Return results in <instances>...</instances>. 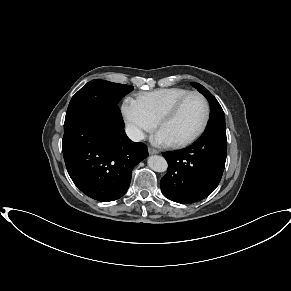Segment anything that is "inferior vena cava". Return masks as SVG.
<instances>
[{"mask_svg":"<svg viewBox=\"0 0 291 291\" xmlns=\"http://www.w3.org/2000/svg\"><path fill=\"white\" fill-rule=\"evenodd\" d=\"M127 136L134 142H139L144 139V133L135 126H127L125 128Z\"/></svg>","mask_w":291,"mask_h":291,"instance_id":"obj_1","label":"inferior vena cava"}]
</instances>
